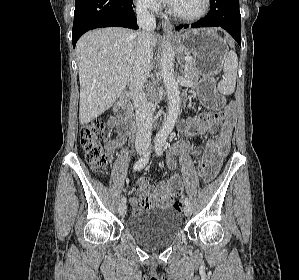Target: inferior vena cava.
Instances as JSON below:
<instances>
[{"mask_svg":"<svg viewBox=\"0 0 299 280\" xmlns=\"http://www.w3.org/2000/svg\"><path fill=\"white\" fill-rule=\"evenodd\" d=\"M136 14L141 31L138 33L136 59L128 85L136 114V145H146L151 141L153 106L148 103L143 89L151 69L153 58L151 36L156 28V20L143 4L137 5Z\"/></svg>","mask_w":299,"mask_h":280,"instance_id":"1","label":"inferior vena cava"}]
</instances>
